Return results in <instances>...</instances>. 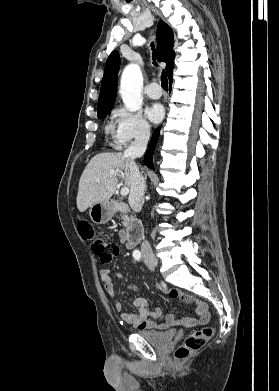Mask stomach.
<instances>
[{
	"label": "stomach",
	"instance_id": "0dacf381",
	"mask_svg": "<svg viewBox=\"0 0 279 391\" xmlns=\"http://www.w3.org/2000/svg\"><path fill=\"white\" fill-rule=\"evenodd\" d=\"M89 215L96 224L107 223L113 215V207L108 201L95 203L90 207Z\"/></svg>",
	"mask_w": 279,
	"mask_h": 391
}]
</instances>
